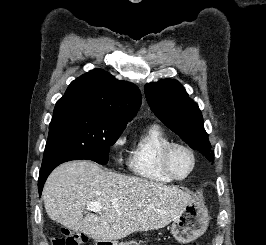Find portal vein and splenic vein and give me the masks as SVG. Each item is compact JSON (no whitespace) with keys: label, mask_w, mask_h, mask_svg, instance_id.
I'll list each match as a JSON object with an SVG mask.
<instances>
[{"label":"portal vein and splenic vein","mask_w":266,"mask_h":245,"mask_svg":"<svg viewBox=\"0 0 266 245\" xmlns=\"http://www.w3.org/2000/svg\"><path fill=\"white\" fill-rule=\"evenodd\" d=\"M87 209L88 211H93V213H100L102 207L100 203H88Z\"/></svg>","instance_id":"portal-vein-and-splenic-vein-1"}]
</instances>
